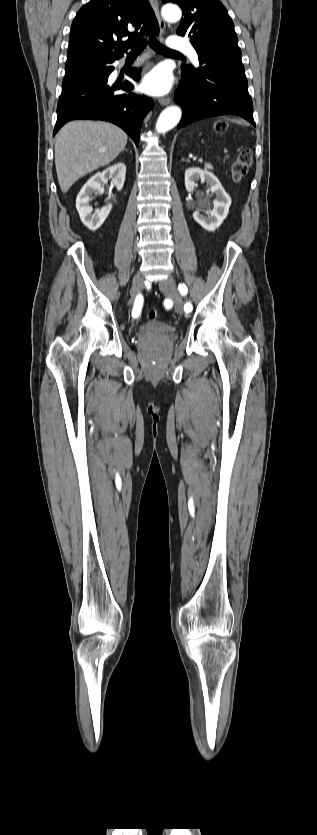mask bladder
Wrapping results in <instances>:
<instances>
[{
	"label": "bladder",
	"mask_w": 317,
	"mask_h": 835,
	"mask_svg": "<svg viewBox=\"0 0 317 835\" xmlns=\"http://www.w3.org/2000/svg\"><path fill=\"white\" fill-rule=\"evenodd\" d=\"M173 333V327L165 322L152 320L139 328V334L146 339L168 337Z\"/></svg>",
	"instance_id": "bladder-1"
}]
</instances>
